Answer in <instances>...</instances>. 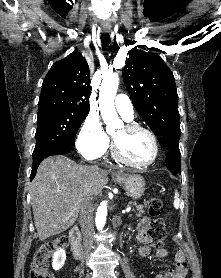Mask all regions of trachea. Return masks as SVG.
Here are the masks:
<instances>
[{"label":"trachea","instance_id":"1","mask_svg":"<svg viewBox=\"0 0 221 278\" xmlns=\"http://www.w3.org/2000/svg\"><path fill=\"white\" fill-rule=\"evenodd\" d=\"M101 43L104 47H107L110 44V35L109 33L101 34Z\"/></svg>","mask_w":221,"mask_h":278}]
</instances>
